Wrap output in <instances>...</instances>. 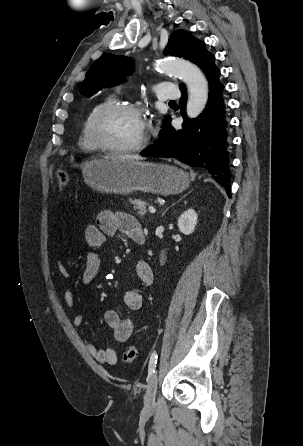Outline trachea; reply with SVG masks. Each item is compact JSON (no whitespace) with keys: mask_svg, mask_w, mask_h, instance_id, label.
Segmentation results:
<instances>
[{"mask_svg":"<svg viewBox=\"0 0 303 446\" xmlns=\"http://www.w3.org/2000/svg\"><path fill=\"white\" fill-rule=\"evenodd\" d=\"M169 103H176L174 100L170 101Z\"/></svg>","mask_w":303,"mask_h":446,"instance_id":"3493384b","label":"trachea"}]
</instances>
